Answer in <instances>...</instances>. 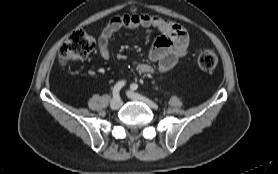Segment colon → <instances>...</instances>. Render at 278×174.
<instances>
[{
  "instance_id": "colon-1",
  "label": "colon",
  "mask_w": 278,
  "mask_h": 174,
  "mask_svg": "<svg viewBox=\"0 0 278 174\" xmlns=\"http://www.w3.org/2000/svg\"><path fill=\"white\" fill-rule=\"evenodd\" d=\"M96 47V39L85 30L73 31L59 50V62L65 65L69 62L81 60L87 57ZM198 66L205 72L214 70L218 63L216 53L211 49L199 52L197 58Z\"/></svg>"
}]
</instances>
